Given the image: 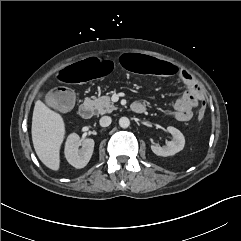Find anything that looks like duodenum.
I'll return each mask as SVG.
<instances>
[{"mask_svg": "<svg viewBox=\"0 0 241 241\" xmlns=\"http://www.w3.org/2000/svg\"><path fill=\"white\" fill-rule=\"evenodd\" d=\"M131 110L134 113L142 114L146 111L145 105L140 102H134L131 104ZM79 115L83 119H89L92 116V106L89 102H83L79 107Z\"/></svg>", "mask_w": 241, "mask_h": 241, "instance_id": "duodenum-1", "label": "duodenum"}]
</instances>
